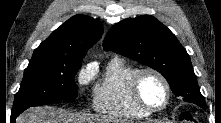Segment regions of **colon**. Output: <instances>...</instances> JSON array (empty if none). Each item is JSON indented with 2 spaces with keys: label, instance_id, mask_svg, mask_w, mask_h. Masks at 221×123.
<instances>
[{
  "label": "colon",
  "instance_id": "colon-1",
  "mask_svg": "<svg viewBox=\"0 0 221 123\" xmlns=\"http://www.w3.org/2000/svg\"><path fill=\"white\" fill-rule=\"evenodd\" d=\"M181 123H197L196 118L189 112H183L180 115Z\"/></svg>",
  "mask_w": 221,
  "mask_h": 123
}]
</instances>
